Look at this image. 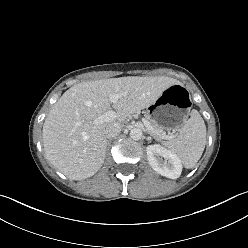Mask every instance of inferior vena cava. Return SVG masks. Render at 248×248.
I'll use <instances>...</instances> for the list:
<instances>
[{
	"instance_id": "obj_1",
	"label": "inferior vena cava",
	"mask_w": 248,
	"mask_h": 248,
	"mask_svg": "<svg viewBox=\"0 0 248 248\" xmlns=\"http://www.w3.org/2000/svg\"><path fill=\"white\" fill-rule=\"evenodd\" d=\"M122 130L121 124H113L106 128L105 136L107 139H112L116 137Z\"/></svg>"
}]
</instances>
